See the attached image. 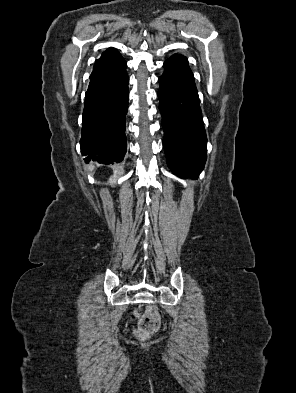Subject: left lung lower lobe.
<instances>
[{"instance_id": "0a47b994", "label": "left lung lower lobe", "mask_w": 296, "mask_h": 393, "mask_svg": "<svg viewBox=\"0 0 296 393\" xmlns=\"http://www.w3.org/2000/svg\"><path fill=\"white\" fill-rule=\"evenodd\" d=\"M163 66L158 97L167 164L181 177L198 176L207 158V137L194 76L182 55H173Z\"/></svg>"}]
</instances>
